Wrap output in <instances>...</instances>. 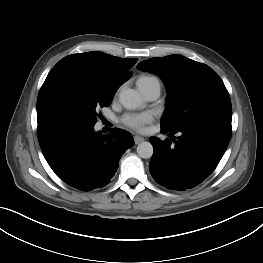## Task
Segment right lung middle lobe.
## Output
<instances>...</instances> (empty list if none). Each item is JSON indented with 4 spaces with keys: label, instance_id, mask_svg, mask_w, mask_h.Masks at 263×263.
Instances as JSON below:
<instances>
[{
    "label": "right lung middle lobe",
    "instance_id": "dd1d6c3e",
    "mask_svg": "<svg viewBox=\"0 0 263 263\" xmlns=\"http://www.w3.org/2000/svg\"><path fill=\"white\" fill-rule=\"evenodd\" d=\"M121 85L83 67L53 68L37 99L38 132L55 127H94L98 111L111 104Z\"/></svg>",
    "mask_w": 263,
    "mask_h": 263
}]
</instances>
